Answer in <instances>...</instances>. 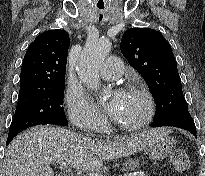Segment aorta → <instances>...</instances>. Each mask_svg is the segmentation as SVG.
I'll return each instance as SVG.
<instances>
[{"label": "aorta", "mask_w": 205, "mask_h": 176, "mask_svg": "<svg viewBox=\"0 0 205 176\" xmlns=\"http://www.w3.org/2000/svg\"><path fill=\"white\" fill-rule=\"evenodd\" d=\"M111 50L108 39L88 41L78 63V77L87 88L97 91L100 88L99 69L102 61Z\"/></svg>", "instance_id": "762f6f07"}]
</instances>
